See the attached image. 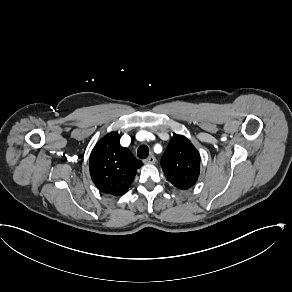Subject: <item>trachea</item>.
<instances>
[{"instance_id":"1","label":"trachea","mask_w":292,"mask_h":292,"mask_svg":"<svg viewBox=\"0 0 292 292\" xmlns=\"http://www.w3.org/2000/svg\"><path fill=\"white\" fill-rule=\"evenodd\" d=\"M149 155V148L146 145L139 146L137 150V156L140 159H146Z\"/></svg>"}]
</instances>
